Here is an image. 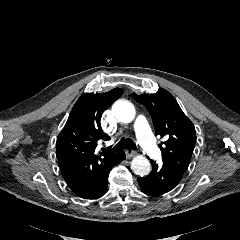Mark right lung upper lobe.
Masks as SVG:
<instances>
[{
  "label": "right lung upper lobe",
  "mask_w": 240,
  "mask_h": 240,
  "mask_svg": "<svg viewBox=\"0 0 240 240\" xmlns=\"http://www.w3.org/2000/svg\"><path fill=\"white\" fill-rule=\"evenodd\" d=\"M122 93L121 88H115L104 94H83L57 137L59 167L75 194L84 191L117 157L118 153H98L96 147L100 141L110 139L103 132L100 119Z\"/></svg>",
  "instance_id": "cb5924a9"
}]
</instances>
